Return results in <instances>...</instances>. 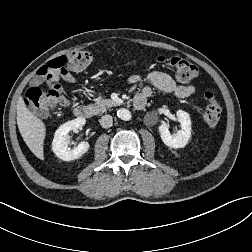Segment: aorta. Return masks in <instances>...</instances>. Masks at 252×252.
<instances>
[{"instance_id": "762f6f07", "label": "aorta", "mask_w": 252, "mask_h": 252, "mask_svg": "<svg viewBox=\"0 0 252 252\" xmlns=\"http://www.w3.org/2000/svg\"><path fill=\"white\" fill-rule=\"evenodd\" d=\"M117 116H118L120 119L124 120V121H128V120L131 119V113H130V111L127 110V109H120V110H118V111H117Z\"/></svg>"}]
</instances>
